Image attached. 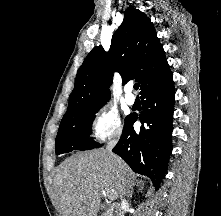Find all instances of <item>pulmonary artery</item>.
Listing matches in <instances>:
<instances>
[{"label": "pulmonary artery", "mask_w": 221, "mask_h": 216, "mask_svg": "<svg viewBox=\"0 0 221 216\" xmlns=\"http://www.w3.org/2000/svg\"><path fill=\"white\" fill-rule=\"evenodd\" d=\"M125 100L128 105H133L136 101V97L132 93V86L126 88Z\"/></svg>", "instance_id": "obj_1"}]
</instances>
